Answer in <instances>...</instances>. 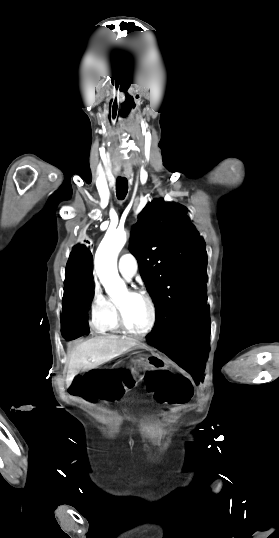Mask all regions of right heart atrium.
Wrapping results in <instances>:
<instances>
[{
    "label": "right heart atrium",
    "instance_id": "d8ad5b80",
    "mask_svg": "<svg viewBox=\"0 0 279 538\" xmlns=\"http://www.w3.org/2000/svg\"><path fill=\"white\" fill-rule=\"evenodd\" d=\"M106 315V297L102 294L101 288L95 281L93 289L92 305V326L98 330V326L104 320Z\"/></svg>",
    "mask_w": 279,
    "mask_h": 538
}]
</instances>
